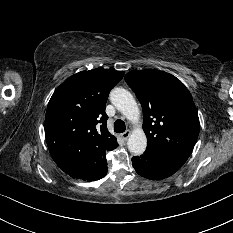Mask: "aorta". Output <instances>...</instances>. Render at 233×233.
<instances>
[{
    "label": "aorta",
    "instance_id": "1",
    "mask_svg": "<svg viewBox=\"0 0 233 233\" xmlns=\"http://www.w3.org/2000/svg\"><path fill=\"white\" fill-rule=\"evenodd\" d=\"M112 104L131 122L139 120V108L132 94L123 88H115L110 93ZM128 149L134 155L144 153L147 138L142 129H135L129 136Z\"/></svg>",
    "mask_w": 233,
    "mask_h": 233
}]
</instances>
